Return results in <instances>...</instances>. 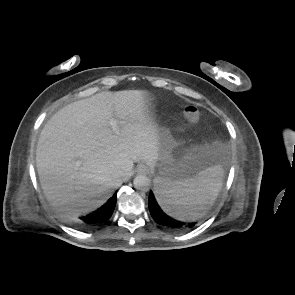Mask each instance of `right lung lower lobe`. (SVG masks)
I'll return each mask as SVG.
<instances>
[{"mask_svg": "<svg viewBox=\"0 0 295 295\" xmlns=\"http://www.w3.org/2000/svg\"><path fill=\"white\" fill-rule=\"evenodd\" d=\"M116 194L108 200V202L103 205L98 210L81 217L82 224L86 227H93L101 223L106 222L112 215L113 210L116 205Z\"/></svg>", "mask_w": 295, "mask_h": 295, "instance_id": "right-lung-lower-lobe-1", "label": "right lung lower lobe"}]
</instances>
